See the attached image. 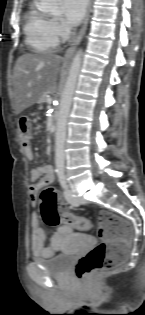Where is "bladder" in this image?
Wrapping results in <instances>:
<instances>
[{
    "label": "bladder",
    "instance_id": "bladder-1",
    "mask_svg": "<svg viewBox=\"0 0 145 315\" xmlns=\"http://www.w3.org/2000/svg\"><path fill=\"white\" fill-rule=\"evenodd\" d=\"M75 249H90V248H75ZM75 256H65V252L52 256L47 260H39L37 262L51 276H65L74 264Z\"/></svg>",
    "mask_w": 145,
    "mask_h": 315
}]
</instances>
